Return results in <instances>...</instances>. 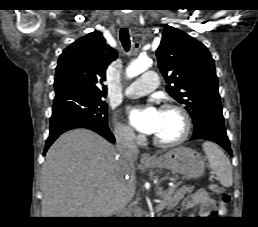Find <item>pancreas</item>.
<instances>
[{"mask_svg": "<svg viewBox=\"0 0 258 227\" xmlns=\"http://www.w3.org/2000/svg\"><path fill=\"white\" fill-rule=\"evenodd\" d=\"M194 190V186H183L176 190L174 189L169 199L166 202L167 210H172L177 204L184 198L187 193H191ZM130 212L137 213L138 209H132Z\"/></svg>", "mask_w": 258, "mask_h": 227, "instance_id": "cf45deb5", "label": "pancreas"}]
</instances>
